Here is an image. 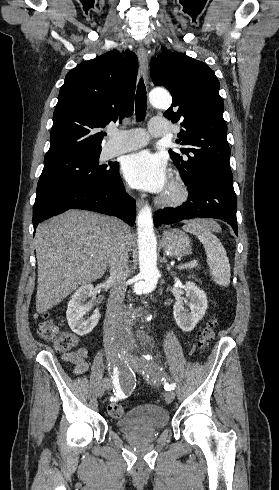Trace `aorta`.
Masks as SVG:
<instances>
[{
    "mask_svg": "<svg viewBox=\"0 0 279 490\" xmlns=\"http://www.w3.org/2000/svg\"><path fill=\"white\" fill-rule=\"evenodd\" d=\"M150 102L157 108H168L172 102L167 91L153 90ZM138 252H139V277L134 285L136 294L152 292L158 282L159 270L157 268V241L154 234L151 208L146 206L137 217ZM131 312L123 308L118 322L111 328V338L114 342L127 343L132 339Z\"/></svg>",
    "mask_w": 279,
    "mask_h": 490,
    "instance_id": "aorta-1",
    "label": "aorta"
}]
</instances>
